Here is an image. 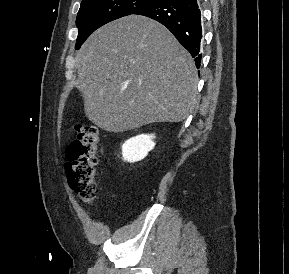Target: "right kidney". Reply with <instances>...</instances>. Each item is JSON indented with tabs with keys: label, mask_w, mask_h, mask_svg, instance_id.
I'll use <instances>...</instances> for the list:
<instances>
[{
	"label": "right kidney",
	"mask_w": 289,
	"mask_h": 274,
	"mask_svg": "<svg viewBox=\"0 0 289 274\" xmlns=\"http://www.w3.org/2000/svg\"><path fill=\"white\" fill-rule=\"evenodd\" d=\"M154 138L153 134H141L128 139L122 145L123 159L130 163L144 159L155 146Z\"/></svg>",
	"instance_id": "right-kidney-1"
}]
</instances>
